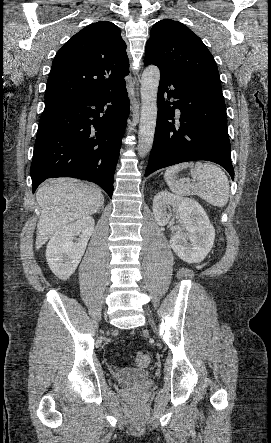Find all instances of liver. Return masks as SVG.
I'll return each mask as SVG.
<instances>
[{
	"mask_svg": "<svg viewBox=\"0 0 271 443\" xmlns=\"http://www.w3.org/2000/svg\"><path fill=\"white\" fill-rule=\"evenodd\" d=\"M36 200L41 208L37 223L35 247L40 249L51 235L66 223L92 216L101 210L104 198L100 190L91 188L75 178L48 180L37 190Z\"/></svg>",
	"mask_w": 271,
	"mask_h": 443,
	"instance_id": "1",
	"label": "liver"
}]
</instances>
